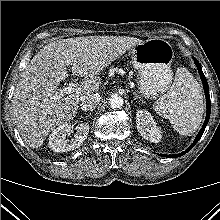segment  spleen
Wrapping results in <instances>:
<instances>
[{
    "label": "spleen",
    "mask_w": 220,
    "mask_h": 220,
    "mask_svg": "<svg viewBox=\"0 0 220 220\" xmlns=\"http://www.w3.org/2000/svg\"><path fill=\"white\" fill-rule=\"evenodd\" d=\"M204 96L200 84L185 68H178L173 85L153 105L162 117L169 119L181 135L190 136L200 126L204 113Z\"/></svg>",
    "instance_id": "spleen-1"
}]
</instances>
